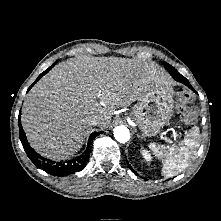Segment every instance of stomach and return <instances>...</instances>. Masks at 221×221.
I'll return each instance as SVG.
<instances>
[{
	"mask_svg": "<svg viewBox=\"0 0 221 221\" xmlns=\"http://www.w3.org/2000/svg\"><path fill=\"white\" fill-rule=\"evenodd\" d=\"M173 111V90L170 85L145 92L134 106L131 117L146 137L156 136Z\"/></svg>",
	"mask_w": 221,
	"mask_h": 221,
	"instance_id": "1",
	"label": "stomach"
}]
</instances>
